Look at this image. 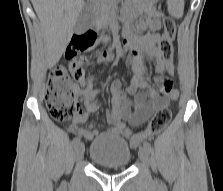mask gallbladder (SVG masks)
Masks as SVG:
<instances>
[{"mask_svg":"<svg viewBox=\"0 0 223 191\" xmlns=\"http://www.w3.org/2000/svg\"><path fill=\"white\" fill-rule=\"evenodd\" d=\"M90 24H91L90 10L85 6L79 13V16L77 18L74 27V31L77 33H83L90 27Z\"/></svg>","mask_w":223,"mask_h":191,"instance_id":"bac80fb5","label":"gallbladder"}]
</instances>
